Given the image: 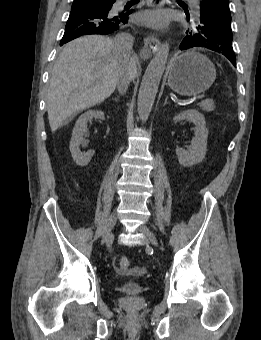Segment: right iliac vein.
Here are the masks:
<instances>
[{"mask_svg":"<svg viewBox=\"0 0 261 340\" xmlns=\"http://www.w3.org/2000/svg\"><path fill=\"white\" fill-rule=\"evenodd\" d=\"M116 221H117V218L115 215H112L106 226H105V229H104V232H103V235H102V239H101V245H104V244H110L112 243L113 241V234H112V230L116 224Z\"/></svg>","mask_w":261,"mask_h":340,"instance_id":"1","label":"right iliac vein"}]
</instances>
